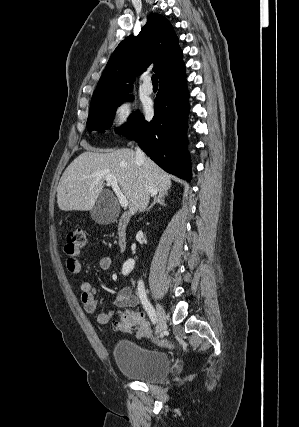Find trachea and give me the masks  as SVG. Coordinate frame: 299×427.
<instances>
[{
	"label": "trachea",
	"instance_id": "3493384b",
	"mask_svg": "<svg viewBox=\"0 0 299 427\" xmlns=\"http://www.w3.org/2000/svg\"><path fill=\"white\" fill-rule=\"evenodd\" d=\"M151 79H152L153 84H158V78H157L156 74H153Z\"/></svg>",
	"mask_w": 299,
	"mask_h": 427
}]
</instances>
